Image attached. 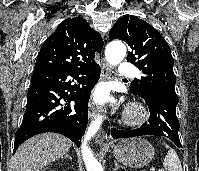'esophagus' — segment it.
Wrapping results in <instances>:
<instances>
[{
    "label": "esophagus",
    "mask_w": 199,
    "mask_h": 171,
    "mask_svg": "<svg viewBox=\"0 0 199 171\" xmlns=\"http://www.w3.org/2000/svg\"><path fill=\"white\" fill-rule=\"evenodd\" d=\"M111 76V69L109 65L103 60L101 64V80L109 79ZM99 108L93 103H89V116L91 119L95 118V116L98 114ZM105 131L100 130L98 134L96 135L95 142L99 145H103L105 141Z\"/></svg>",
    "instance_id": "1"
}]
</instances>
